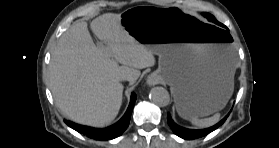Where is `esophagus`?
<instances>
[{"mask_svg": "<svg viewBox=\"0 0 279 148\" xmlns=\"http://www.w3.org/2000/svg\"><path fill=\"white\" fill-rule=\"evenodd\" d=\"M160 81L159 79L157 78V76L155 75H150L148 78H147V84L149 86H154L156 84H158Z\"/></svg>", "mask_w": 279, "mask_h": 148, "instance_id": "obj_1", "label": "esophagus"}]
</instances>
